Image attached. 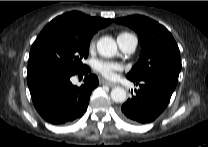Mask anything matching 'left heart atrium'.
<instances>
[{
  "label": "left heart atrium",
  "mask_w": 208,
  "mask_h": 147,
  "mask_svg": "<svg viewBox=\"0 0 208 147\" xmlns=\"http://www.w3.org/2000/svg\"><path fill=\"white\" fill-rule=\"evenodd\" d=\"M93 68L105 78L113 79L122 70V65L117 62L97 60L94 62Z\"/></svg>",
  "instance_id": "left-heart-atrium-1"
}]
</instances>
